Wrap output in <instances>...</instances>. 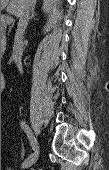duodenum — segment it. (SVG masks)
Segmentation results:
<instances>
[{"instance_id":"obj_1","label":"duodenum","mask_w":109,"mask_h":170,"mask_svg":"<svg viewBox=\"0 0 109 170\" xmlns=\"http://www.w3.org/2000/svg\"><path fill=\"white\" fill-rule=\"evenodd\" d=\"M1 85H5V79L4 78H1Z\"/></svg>"}]
</instances>
